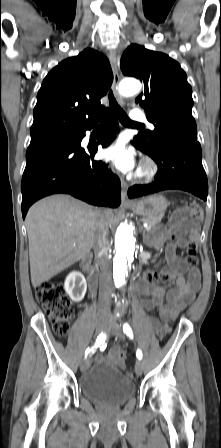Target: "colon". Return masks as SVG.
<instances>
[{
  "label": "colon",
  "instance_id": "colon-1",
  "mask_svg": "<svg viewBox=\"0 0 221 448\" xmlns=\"http://www.w3.org/2000/svg\"><path fill=\"white\" fill-rule=\"evenodd\" d=\"M201 219V210L194 202L188 203V212L176 216L172 222L181 225L188 221L192 227H196ZM185 262L190 267H197V244L192 241L186 247ZM37 301L45 308L52 322L56 335L64 336L69 328L72 316V307L64 295V289L60 282L46 281L35 290Z\"/></svg>",
  "mask_w": 221,
  "mask_h": 448
}]
</instances>
